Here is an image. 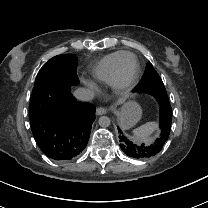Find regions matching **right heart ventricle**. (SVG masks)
Segmentation results:
<instances>
[{
    "label": "right heart ventricle",
    "mask_w": 208,
    "mask_h": 208,
    "mask_svg": "<svg viewBox=\"0 0 208 208\" xmlns=\"http://www.w3.org/2000/svg\"><path fill=\"white\" fill-rule=\"evenodd\" d=\"M136 58L133 52L119 50L101 58L90 70V80L98 88H115V78L119 67Z\"/></svg>",
    "instance_id": "e07e8e85"
}]
</instances>
